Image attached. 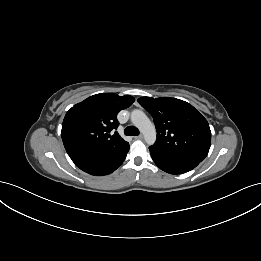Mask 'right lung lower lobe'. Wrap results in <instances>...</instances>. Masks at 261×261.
Here are the masks:
<instances>
[{"label":"right lung lower lobe","mask_w":261,"mask_h":261,"mask_svg":"<svg viewBox=\"0 0 261 261\" xmlns=\"http://www.w3.org/2000/svg\"><path fill=\"white\" fill-rule=\"evenodd\" d=\"M129 144L111 150H85L70 154L74 164L84 172L101 176L115 171L125 160Z\"/></svg>","instance_id":"1"}]
</instances>
